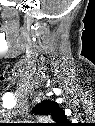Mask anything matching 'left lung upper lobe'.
<instances>
[{"label":"left lung upper lobe","instance_id":"left-lung-upper-lobe-1","mask_svg":"<svg viewBox=\"0 0 95 126\" xmlns=\"http://www.w3.org/2000/svg\"><path fill=\"white\" fill-rule=\"evenodd\" d=\"M36 114L47 115L52 117L56 122L55 126H62L66 122V116L64 110L59 105L50 100H44L33 109Z\"/></svg>","mask_w":95,"mask_h":126}]
</instances>
